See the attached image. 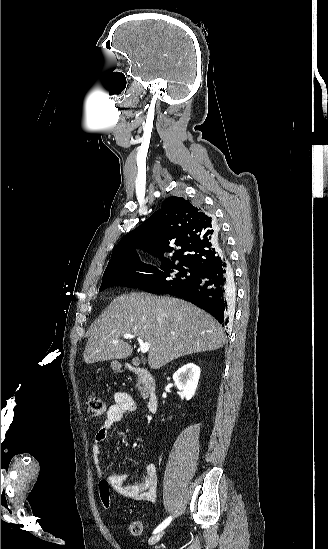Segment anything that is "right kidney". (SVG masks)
I'll return each mask as SVG.
<instances>
[{
  "label": "right kidney",
  "instance_id": "right-kidney-1",
  "mask_svg": "<svg viewBox=\"0 0 328 549\" xmlns=\"http://www.w3.org/2000/svg\"><path fill=\"white\" fill-rule=\"evenodd\" d=\"M200 377V369L194 363H187L181 369H178L173 375L175 385L182 395H184L186 401H189L197 389L198 381Z\"/></svg>",
  "mask_w": 328,
  "mask_h": 549
}]
</instances>
